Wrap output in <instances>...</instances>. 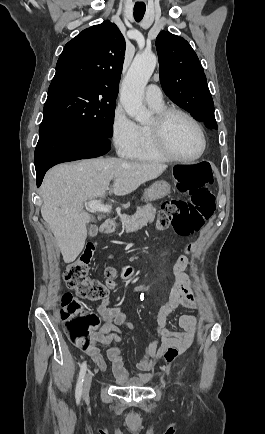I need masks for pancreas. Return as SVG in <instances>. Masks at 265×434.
<instances>
[{"instance_id": "obj_1", "label": "pancreas", "mask_w": 265, "mask_h": 434, "mask_svg": "<svg viewBox=\"0 0 265 434\" xmlns=\"http://www.w3.org/2000/svg\"><path fill=\"white\" fill-rule=\"evenodd\" d=\"M156 208H153L152 204H147V206H143V208H138L136 214H134L133 218L127 222H121L123 230L129 234V232H137L140 230L142 226H146L148 222H154L156 216Z\"/></svg>"}]
</instances>
